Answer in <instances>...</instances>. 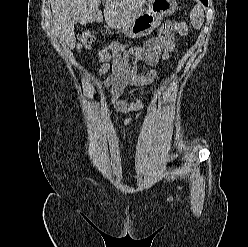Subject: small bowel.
Wrapping results in <instances>:
<instances>
[{"instance_id":"1","label":"small bowel","mask_w":248,"mask_h":247,"mask_svg":"<svg viewBox=\"0 0 248 247\" xmlns=\"http://www.w3.org/2000/svg\"><path fill=\"white\" fill-rule=\"evenodd\" d=\"M175 47L174 38L171 34L165 36H154L145 41L141 46L127 47L112 55L106 54L102 57L99 75L103 76L110 68L112 74L105 82L104 88L109 92L110 102L113 107L123 113L138 111L145 107V100L128 102L120 98L127 86L142 87L154 82L158 77V71L152 70L147 74H138V64L144 62L148 65H156L160 60L168 61L170 53ZM131 58L134 61L131 62ZM112 61V65H110ZM139 118L130 117L125 119L114 118V122L129 126Z\"/></svg>"}]
</instances>
